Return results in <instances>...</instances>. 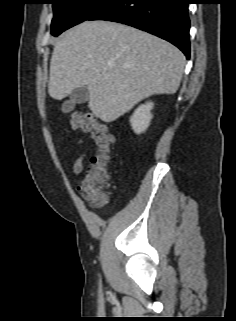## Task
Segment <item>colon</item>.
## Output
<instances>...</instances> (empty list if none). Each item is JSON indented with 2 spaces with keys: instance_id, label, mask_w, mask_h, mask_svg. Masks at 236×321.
I'll return each instance as SVG.
<instances>
[{
  "instance_id": "1",
  "label": "colon",
  "mask_w": 236,
  "mask_h": 321,
  "mask_svg": "<svg viewBox=\"0 0 236 321\" xmlns=\"http://www.w3.org/2000/svg\"><path fill=\"white\" fill-rule=\"evenodd\" d=\"M71 126L73 129L89 133L97 147V154L90 159L88 168L78 184V191L92 206H101L106 202V191L111 178L109 163L113 138L106 126L89 113H73Z\"/></svg>"
}]
</instances>
